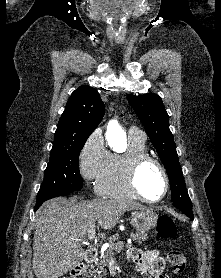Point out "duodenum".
Masks as SVG:
<instances>
[{"label": "duodenum", "instance_id": "obj_1", "mask_svg": "<svg viewBox=\"0 0 221 278\" xmlns=\"http://www.w3.org/2000/svg\"><path fill=\"white\" fill-rule=\"evenodd\" d=\"M98 256V251L97 249L93 248V247H90L86 250V255H85V261L76 265L73 270H72V273H71V276L73 278H77V277H80L86 266L90 263H92L96 257Z\"/></svg>", "mask_w": 221, "mask_h": 278}]
</instances>
